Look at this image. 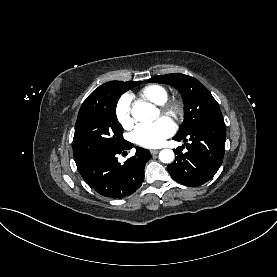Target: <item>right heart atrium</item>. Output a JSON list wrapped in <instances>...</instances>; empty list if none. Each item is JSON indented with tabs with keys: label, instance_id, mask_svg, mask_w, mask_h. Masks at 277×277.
Returning <instances> with one entry per match:
<instances>
[{
	"label": "right heart atrium",
	"instance_id": "1",
	"mask_svg": "<svg viewBox=\"0 0 277 277\" xmlns=\"http://www.w3.org/2000/svg\"><path fill=\"white\" fill-rule=\"evenodd\" d=\"M116 118L119 123L125 127H131L133 125V117L131 110V97L128 94H124L118 100L115 109Z\"/></svg>",
	"mask_w": 277,
	"mask_h": 277
}]
</instances>
